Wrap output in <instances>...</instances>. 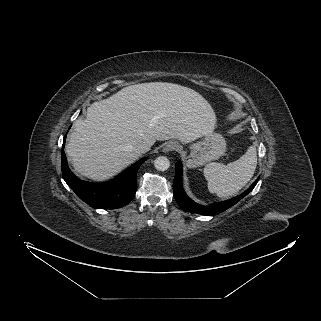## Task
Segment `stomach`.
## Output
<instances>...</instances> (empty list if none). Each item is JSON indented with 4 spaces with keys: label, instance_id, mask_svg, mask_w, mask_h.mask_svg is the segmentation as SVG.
Masks as SVG:
<instances>
[{
    "label": "stomach",
    "instance_id": "1",
    "mask_svg": "<svg viewBox=\"0 0 321 321\" xmlns=\"http://www.w3.org/2000/svg\"><path fill=\"white\" fill-rule=\"evenodd\" d=\"M225 152L226 141L224 137L211 132L190 146L187 165L190 168L200 167L207 162L219 159Z\"/></svg>",
    "mask_w": 321,
    "mask_h": 321
}]
</instances>
